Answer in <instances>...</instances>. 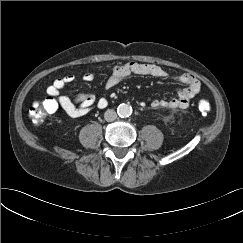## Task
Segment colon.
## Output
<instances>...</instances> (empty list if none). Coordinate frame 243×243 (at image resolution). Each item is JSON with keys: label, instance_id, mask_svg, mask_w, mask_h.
Segmentation results:
<instances>
[{"label": "colon", "instance_id": "1", "mask_svg": "<svg viewBox=\"0 0 243 243\" xmlns=\"http://www.w3.org/2000/svg\"><path fill=\"white\" fill-rule=\"evenodd\" d=\"M58 109L56 100L52 97L35 101L30 110L29 117L33 124L40 125L44 122L47 115L54 113ZM198 109L200 112L206 114L210 112L211 105L207 100H200L198 102Z\"/></svg>", "mask_w": 243, "mask_h": 243}]
</instances>
